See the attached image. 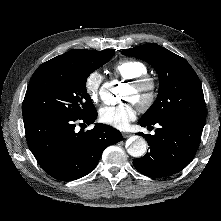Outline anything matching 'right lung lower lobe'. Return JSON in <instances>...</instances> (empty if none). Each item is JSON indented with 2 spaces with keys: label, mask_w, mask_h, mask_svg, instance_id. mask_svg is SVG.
Returning <instances> with one entry per match:
<instances>
[{
  "label": "right lung lower lobe",
  "mask_w": 221,
  "mask_h": 221,
  "mask_svg": "<svg viewBox=\"0 0 221 221\" xmlns=\"http://www.w3.org/2000/svg\"><path fill=\"white\" fill-rule=\"evenodd\" d=\"M96 117L97 111L82 118L23 117L28 146L47 174L62 181L81 178L97 166L106 147L121 140L120 131L100 123L77 132L78 122L90 124Z\"/></svg>",
  "instance_id": "obj_1"
}]
</instances>
